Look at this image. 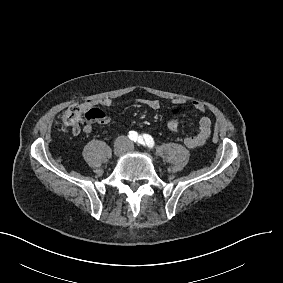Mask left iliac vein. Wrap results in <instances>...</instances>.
Masks as SVG:
<instances>
[{
	"instance_id": "obj_1",
	"label": "left iliac vein",
	"mask_w": 283,
	"mask_h": 283,
	"mask_svg": "<svg viewBox=\"0 0 283 283\" xmlns=\"http://www.w3.org/2000/svg\"><path fill=\"white\" fill-rule=\"evenodd\" d=\"M134 149V146L132 144H130L128 147H127V151H132Z\"/></svg>"
}]
</instances>
